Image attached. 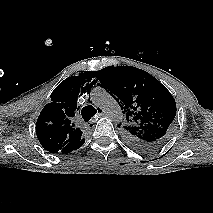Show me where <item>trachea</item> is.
Listing matches in <instances>:
<instances>
[{"instance_id":"1","label":"trachea","mask_w":213,"mask_h":213,"mask_svg":"<svg viewBox=\"0 0 213 213\" xmlns=\"http://www.w3.org/2000/svg\"><path fill=\"white\" fill-rule=\"evenodd\" d=\"M97 110L91 106L87 105L82 108L81 115L85 122H88L95 114Z\"/></svg>"}]
</instances>
